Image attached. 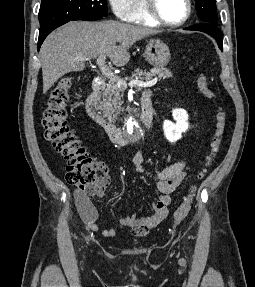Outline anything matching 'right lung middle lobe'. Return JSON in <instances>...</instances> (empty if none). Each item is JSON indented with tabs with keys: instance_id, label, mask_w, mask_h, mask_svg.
<instances>
[{
	"instance_id": "right-lung-middle-lobe-1",
	"label": "right lung middle lobe",
	"mask_w": 255,
	"mask_h": 287,
	"mask_svg": "<svg viewBox=\"0 0 255 287\" xmlns=\"http://www.w3.org/2000/svg\"><path fill=\"white\" fill-rule=\"evenodd\" d=\"M107 13L106 0H42L40 29L74 20L95 21Z\"/></svg>"
}]
</instances>
